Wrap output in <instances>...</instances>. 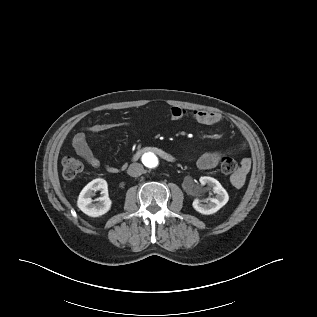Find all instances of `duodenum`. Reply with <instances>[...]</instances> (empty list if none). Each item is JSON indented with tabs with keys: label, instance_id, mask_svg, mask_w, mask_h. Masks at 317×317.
<instances>
[{
	"label": "duodenum",
	"instance_id": "1",
	"mask_svg": "<svg viewBox=\"0 0 317 317\" xmlns=\"http://www.w3.org/2000/svg\"><path fill=\"white\" fill-rule=\"evenodd\" d=\"M147 151H152V152L156 153L157 155H159L161 158H163L164 160H166L168 162H173L175 160L173 155H171L170 153H168V152H166L158 147H146V148L138 151L134 155V158L137 159L143 152H147Z\"/></svg>",
	"mask_w": 317,
	"mask_h": 317
}]
</instances>
